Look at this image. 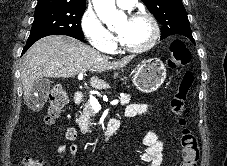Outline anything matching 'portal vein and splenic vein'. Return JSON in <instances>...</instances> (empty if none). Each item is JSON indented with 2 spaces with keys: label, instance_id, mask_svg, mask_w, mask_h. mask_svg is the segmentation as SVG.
I'll return each mask as SVG.
<instances>
[{
  "label": "portal vein and splenic vein",
  "instance_id": "obj_1",
  "mask_svg": "<svg viewBox=\"0 0 227 166\" xmlns=\"http://www.w3.org/2000/svg\"><path fill=\"white\" fill-rule=\"evenodd\" d=\"M82 79H83V73H79L78 80L81 81ZM89 102H90L93 110L99 111L101 109V105L99 104L98 100L93 95H90ZM116 104H118V101L111 102V105H116Z\"/></svg>",
  "mask_w": 227,
  "mask_h": 166
}]
</instances>
